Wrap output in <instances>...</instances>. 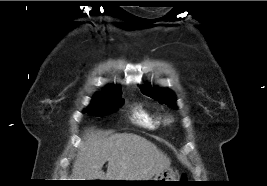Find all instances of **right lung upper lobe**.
Returning a JSON list of instances; mask_svg holds the SVG:
<instances>
[{
  "label": "right lung upper lobe",
  "instance_id": "cb5924a9",
  "mask_svg": "<svg viewBox=\"0 0 267 186\" xmlns=\"http://www.w3.org/2000/svg\"><path fill=\"white\" fill-rule=\"evenodd\" d=\"M121 93V89L119 86L111 85L109 88L105 90V92H98V95H112V94H117Z\"/></svg>",
  "mask_w": 267,
  "mask_h": 186
}]
</instances>
